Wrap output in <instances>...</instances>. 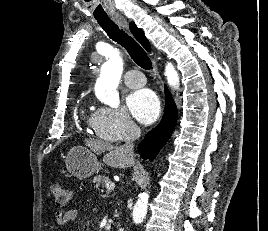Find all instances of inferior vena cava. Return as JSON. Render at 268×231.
<instances>
[{
	"mask_svg": "<svg viewBox=\"0 0 268 231\" xmlns=\"http://www.w3.org/2000/svg\"><path fill=\"white\" fill-rule=\"evenodd\" d=\"M140 135V128L136 125H133L130 129V139L124 145L125 151L128 155L133 159L134 156V146H133V139L139 137Z\"/></svg>",
	"mask_w": 268,
	"mask_h": 231,
	"instance_id": "602c4592",
	"label": "inferior vena cava"
}]
</instances>
